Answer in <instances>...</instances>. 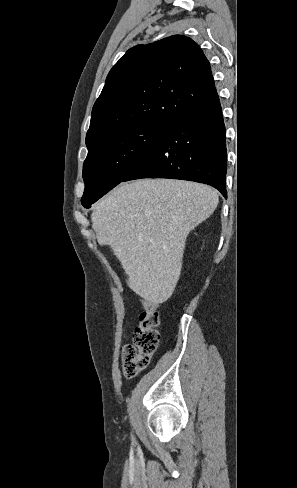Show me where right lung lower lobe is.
Here are the masks:
<instances>
[{
  "instance_id": "right-lung-lower-lobe-1",
  "label": "right lung lower lobe",
  "mask_w": 297,
  "mask_h": 488,
  "mask_svg": "<svg viewBox=\"0 0 297 488\" xmlns=\"http://www.w3.org/2000/svg\"><path fill=\"white\" fill-rule=\"evenodd\" d=\"M226 132L219 97L170 124L123 179L171 178L209 184L226 198Z\"/></svg>"
}]
</instances>
